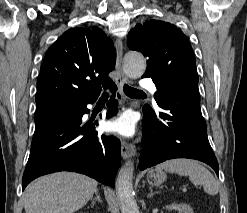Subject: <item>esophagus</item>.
Wrapping results in <instances>:
<instances>
[{
	"label": "esophagus",
	"instance_id": "esophagus-1",
	"mask_svg": "<svg viewBox=\"0 0 247 213\" xmlns=\"http://www.w3.org/2000/svg\"><path fill=\"white\" fill-rule=\"evenodd\" d=\"M115 48H116V84L118 87V90L120 93H123V87L124 84L128 82L127 77L125 76L123 70H122V57H123V44L122 41L117 39L115 42ZM135 146L132 143H128L126 141H123L121 144V155L123 159H128L134 156L135 154Z\"/></svg>",
	"mask_w": 247,
	"mask_h": 213
}]
</instances>
